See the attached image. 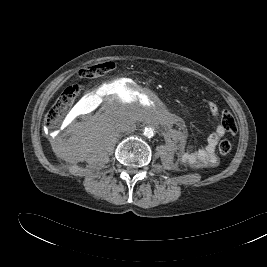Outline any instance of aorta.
Wrapping results in <instances>:
<instances>
[{
	"mask_svg": "<svg viewBox=\"0 0 267 267\" xmlns=\"http://www.w3.org/2000/svg\"><path fill=\"white\" fill-rule=\"evenodd\" d=\"M143 134H144L145 137H147V138H151V137H153V135H154V130H153L152 128H148V127H146V128H144V130H143Z\"/></svg>",
	"mask_w": 267,
	"mask_h": 267,
	"instance_id": "obj_1",
	"label": "aorta"
}]
</instances>
